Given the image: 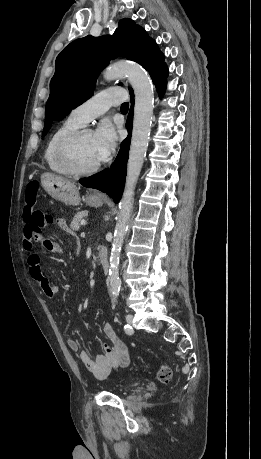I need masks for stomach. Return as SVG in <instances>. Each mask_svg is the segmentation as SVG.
I'll return each mask as SVG.
<instances>
[{
    "label": "stomach",
    "instance_id": "1",
    "mask_svg": "<svg viewBox=\"0 0 261 459\" xmlns=\"http://www.w3.org/2000/svg\"><path fill=\"white\" fill-rule=\"evenodd\" d=\"M41 184L46 192L54 199L59 200L66 205L77 206L81 202L78 187L61 176L52 173H44L40 177ZM90 206H101L104 198L97 195H88L83 198Z\"/></svg>",
    "mask_w": 261,
    "mask_h": 459
}]
</instances>
